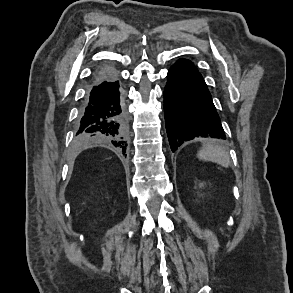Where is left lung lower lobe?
<instances>
[{
    "instance_id": "0a47b994",
    "label": "left lung lower lobe",
    "mask_w": 293,
    "mask_h": 293,
    "mask_svg": "<svg viewBox=\"0 0 293 293\" xmlns=\"http://www.w3.org/2000/svg\"><path fill=\"white\" fill-rule=\"evenodd\" d=\"M164 89L165 125L172 152L195 137L226 139L207 85L194 64L179 59Z\"/></svg>"
}]
</instances>
